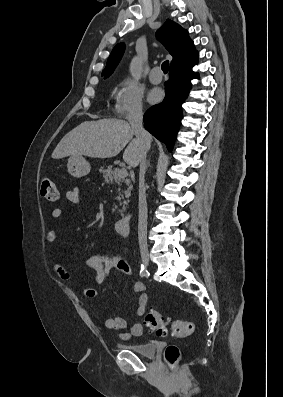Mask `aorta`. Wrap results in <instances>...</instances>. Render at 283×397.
I'll return each instance as SVG.
<instances>
[{"label": "aorta", "instance_id": "aorta-1", "mask_svg": "<svg viewBox=\"0 0 283 397\" xmlns=\"http://www.w3.org/2000/svg\"><path fill=\"white\" fill-rule=\"evenodd\" d=\"M141 71V63L139 59L135 57L130 63V73L134 79L139 80L141 78Z\"/></svg>", "mask_w": 283, "mask_h": 397}]
</instances>
